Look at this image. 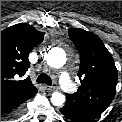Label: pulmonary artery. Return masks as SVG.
Segmentation results:
<instances>
[{"mask_svg":"<svg viewBox=\"0 0 122 122\" xmlns=\"http://www.w3.org/2000/svg\"><path fill=\"white\" fill-rule=\"evenodd\" d=\"M59 83L64 91L66 92L73 91L74 86L67 72L63 71L60 74Z\"/></svg>","mask_w":122,"mask_h":122,"instance_id":"e3ab8cb5","label":"pulmonary artery"}]
</instances>
